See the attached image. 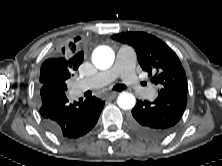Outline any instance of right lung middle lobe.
I'll list each match as a JSON object with an SVG mask.
<instances>
[{
	"mask_svg": "<svg viewBox=\"0 0 222 166\" xmlns=\"http://www.w3.org/2000/svg\"><path fill=\"white\" fill-rule=\"evenodd\" d=\"M65 90H67V85H65L63 82L60 84Z\"/></svg>",
	"mask_w": 222,
	"mask_h": 166,
	"instance_id": "1",
	"label": "right lung middle lobe"
}]
</instances>
